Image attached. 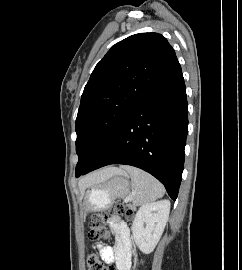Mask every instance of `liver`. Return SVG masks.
<instances>
[{
	"label": "liver",
	"mask_w": 242,
	"mask_h": 270,
	"mask_svg": "<svg viewBox=\"0 0 242 270\" xmlns=\"http://www.w3.org/2000/svg\"><path fill=\"white\" fill-rule=\"evenodd\" d=\"M117 171H119V169L114 168V167H110V168H106V169L94 172V173L82 178L79 181V188H80L81 193H84V191L87 187H90L94 184H97V183H100V182L107 180Z\"/></svg>",
	"instance_id": "obj_1"
}]
</instances>
